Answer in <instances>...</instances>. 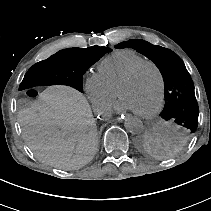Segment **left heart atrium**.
Instances as JSON below:
<instances>
[{
	"label": "left heart atrium",
	"instance_id": "obj_1",
	"mask_svg": "<svg viewBox=\"0 0 211 211\" xmlns=\"http://www.w3.org/2000/svg\"><path fill=\"white\" fill-rule=\"evenodd\" d=\"M126 109H130L129 106L127 105L126 102H124L123 100H120L119 102H117L114 106V110L115 111H123Z\"/></svg>",
	"mask_w": 211,
	"mask_h": 211
}]
</instances>
